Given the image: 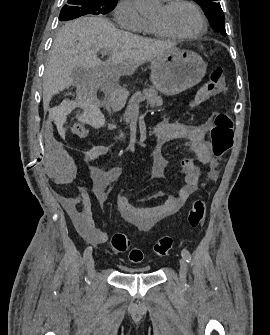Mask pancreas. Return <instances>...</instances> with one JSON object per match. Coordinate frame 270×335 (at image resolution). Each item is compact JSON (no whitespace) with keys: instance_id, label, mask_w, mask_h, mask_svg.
Segmentation results:
<instances>
[{"instance_id":"cf45deb5","label":"pancreas","mask_w":270,"mask_h":335,"mask_svg":"<svg viewBox=\"0 0 270 335\" xmlns=\"http://www.w3.org/2000/svg\"><path fill=\"white\" fill-rule=\"evenodd\" d=\"M147 100L148 106H151V108H156V106H162V98L161 96H158L157 90L155 88H147V90H143L142 94H134L132 96V102L130 106H128L124 116L123 120L126 122V124H129L131 120V110L134 108V106H139L141 102H145ZM124 134H120L119 138H123ZM118 138V140H119Z\"/></svg>"}]
</instances>
